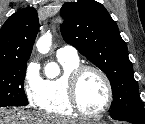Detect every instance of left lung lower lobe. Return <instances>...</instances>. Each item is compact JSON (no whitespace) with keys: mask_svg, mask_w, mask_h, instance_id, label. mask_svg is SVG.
<instances>
[{"mask_svg":"<svg viewBox=\"0 0 145 124\" xmlns=\"http://www.w3.org/2000/svg\"><path fill=\"white\" fill-rule=\"evenodd\" d=\"M128 122H130V123H132V124H139V123H137V122H131V121H128Z\"/></svg>","mask_w":145,"mask_h":124,"instance_id":"1","label":"left lung lower lobe"}]
</instances>
